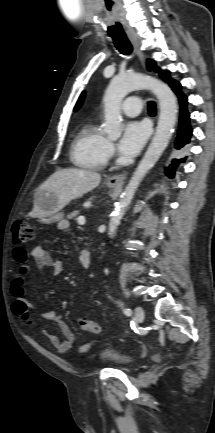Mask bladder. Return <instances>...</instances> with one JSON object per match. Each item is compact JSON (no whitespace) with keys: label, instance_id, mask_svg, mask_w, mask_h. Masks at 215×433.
I'll return each instance as SVG.
<instances>
[{"label":"bladder","instance_id":"bladder-1","mask_svg":"<svg viewBox=\"0 0 215 433\" xmlns=\"http://www.w3.org/2000/svg\"><path fill=\"white\" fill-rule=\"evenodd\" d=\"M100 358L122 369H130L136 362L135 358L132 356L126 355L120 350L111 347L103 348L100 351Z\"/></svg>","mask_w":215,"mask_h":433}]
</instances>
